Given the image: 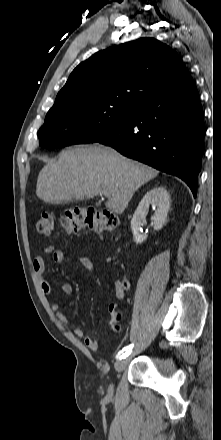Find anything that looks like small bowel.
Listing matches in <instances>:
<instances>
[{
  "label": "small bowel",
  "mask_w": 221,
  "mask_h": 440,
  "mask_svg": "<svg viewBox=\"0 0 221 440\" xmlns=\"http://www.w3.org/2000/svg\"><path fill=\"white\" fill-rule=\"evenodd\" d=\"M45 253L50 254L52 256V259L55 263L61 264L66 262L67 258L66 255L62 250L55 249L54 246L48 245L45 247ZM76 261L81 264L88 273H92L94 270V263L93 261L83 255L76 256ZM32 268L33 272L38 278L39 285L41 290L46 294L50 295L52 293V288L49 282L43 279V274L45 272V260L42 256L38 255L33 259L32 262ZM128 289V282L126 280L122 281H116L115 282V294L118 299H123L125 297V292ZM60 291L63 295H72L73 293V286L69 282H64L60 286ZM52 311L56 314V317L58 321L62 324L68 323V317L67 315L60 311V306L58 303H53L51 305ZM119 310V305L117 303H111L108 306V312L110 316V320L108 322V326L112 327V320L114 319L116 313ZM73 334L76 337L83 338L84 344L91 350L96 351L99 348V342L97 339L91 337V336H84V332L81 328L75 327L73 328Z\"/></svg>",
  "instance_id": "c3829d8e"
}]
</instances>
